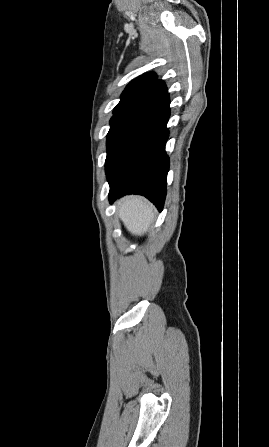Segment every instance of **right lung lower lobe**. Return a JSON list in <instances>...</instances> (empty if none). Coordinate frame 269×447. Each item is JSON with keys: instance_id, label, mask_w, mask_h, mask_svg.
Returning a JSON list of instances; mask_svg holds the SVG:
<instances>
[{"instance_id": "98d812e1", "label": "right lung lower lobe", "mask_w": 269, "mask_h": 447, "mask_svg": "<svg viewBox=\"0 0 269 447\" xmlns=\"http://www.w3.org/2000/svg\"><path fill=\"white\" fill-rule=\"evenodd\" d=\"M169 103L165 92L124 117L108 137L105 170L110 203L126 194H140L162 210L169 170L165 153Z\"/></svg>"}]
</instances>
